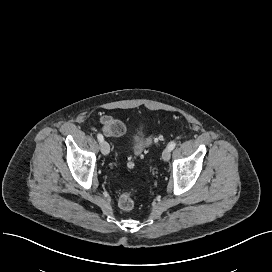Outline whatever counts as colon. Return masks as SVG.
<instances>
[{
	"mask_svg": "<svg viewBox=\"0 0 272 272\" xmlns=\"http://www.w3.org/2000/svg\"><path fill=\"white\" fill-rule=\"evenodd\" d=\"M124 127H123V123L118 120V119H114V118H110V117H104L102 120V131L104 134L106 135H120L123 133ZM161 139V136H155L154 138H152L149 143L151 142H156L158 140ZM127 166L131 167L132 166V162L129 160L127 162ZM135 200L132 196V194L130 193H124L122 195H120V197L118 198V207L123 210V211H131L135 208Z\"/></svg>",
	"mask_w": 272,
	"mask_h": 272,
	"instance_id": "5ec220e1",
	"label": "colon"
}]
</instances>
